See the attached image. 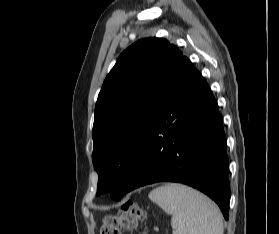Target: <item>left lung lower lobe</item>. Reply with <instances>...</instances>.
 Returning a JSON list of instances; mask_svg holds the SVG:
<instances>
[{
	"instance_id": "obj_1",
	"label": "left lung lower lobe",
	"mask_w": 279,
	"mask_h": 234,
	"mask_svg": "<svg viewBox=\"0 0 279 234\" xmlns=\"http://www.w3.org/2000/svg\"><path fill=\"white\" fill-rule=\"evenodd\" d=\"M228 164L217 101L183 56L159 101L124 194L159 181L179 182L212 198L228 220Z\"/></svg>"
}]
</instances>
